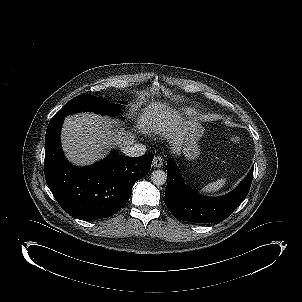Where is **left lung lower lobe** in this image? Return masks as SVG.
<instances>
[{"instance_id": "obj_1", "label": "left lung lower lobe", "mask_w": 302, "mask_h": 302, "mask_svg": "<svg viewBox=\"0 0 302 302\" xmlns=\"http://www.w3.org/2000/svg\"><path fill=\"white\" fill-rule=\"evenodd\" d=\"M167 177L163 199L170 212L184 221L211 223L226 219L247 196L253 167L234 191L216 198L200 195L188 187L172 159L167 161Z\"/></svg>"}]
</instances>
